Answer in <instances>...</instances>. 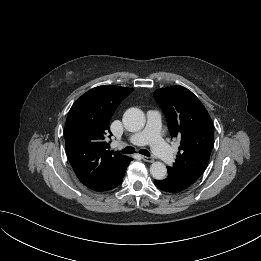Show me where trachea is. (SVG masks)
Here are the masks:
<instances>
[{"label": "trachea", "instance_id": "3493384b", "mask_svg": "<svg viewBox=\"0 0 261 261\" xmlns=\"http://www.w3.org/2000/svg\"><path fill=\"white\" fill-rule=\"evenodd\" d=\"M122 153H124V154H133V153H135V149L132 146H128V147H126V148H124L122 150ZM139 153L144 155V156H147V157L150 155L149 151H147L146 149H141L139 151Z\"/></svg>", "mask_w": 261, "mask_h": 261}]
</instances>
